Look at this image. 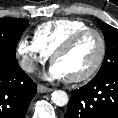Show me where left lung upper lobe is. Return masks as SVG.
Segmentation results:
<instances>
[{
  "instance_id": "1",
  "label": "left lung upper lobe",
  "mask_w": 118,
  "mask_h": 118,
  "mask_svg": "<svg viewBox=\"0 0 118 118\" xmlns=\"http://www.w3.org/2000/svg\"><path fill=\"white\" fill-rule=\"evenodd\" d=\"M105 36L106 54L104 62L94 79L101 78L118 71V29L106 24H101Z\"/></svg>"
}]
</instances>
